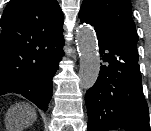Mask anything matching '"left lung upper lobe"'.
Masks as SVG:
<instances>
[{
	"instance_id": "1",
	"label": "left lung upper lobe",
	"mask_w": 151,
	"mask_h": 131,
	"mask_svg": "<svg viewBox=\"0 0 151 131\" xmlns=\"http://www.w3.org/2000/svg\"><path fill=\"white\" fill-rule=\"evenodd\" d=\"M79 17L106 36L126 57L138 62V35L130 0H83Z\"/></svg>"
}]
</instances>
